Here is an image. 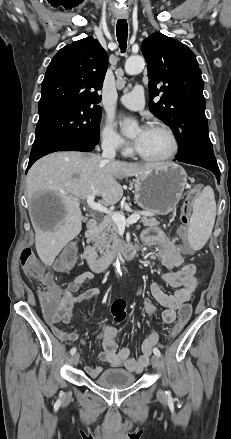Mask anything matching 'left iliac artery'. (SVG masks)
I'll return each mask as SVG.
<instances>
[{
    "instance_id": "1",
    "label": "left iliac artery",
    "mask_w": 231,
    "mask_h": 439,
    "mask_svg": "<svg viewBox=\"0 0 231 439\" xmlns=\"http://www.w3.org/2000/svg\"><path fill=\"white\" fill-rule=\"evenodd\" d=\"M153 352H154V354L157 355L158 357H161V353H160V351H159L158 348H154V349H153ZM166 394H167L169 397H170V395H171V393H170L169 391H167Z\"/></svg>"
}]
</instances>
